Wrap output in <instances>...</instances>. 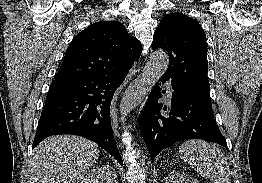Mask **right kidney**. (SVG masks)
Segmentation results:
<instances>
[{
	"label": "right kidney",
	"instance_id": "right-kidney-1",
	"mask_svg": "<svg viewBox=\"0 0 262 183\" xmlns=\"http://www.w3.org/2000/svg\"><path fill=\"white\" fill-rule=\"evenodd\" d=\"M114 169L109 166H102L89 172L81 183H117Z\"/></svg>",
	"mask_w": 262,
	"mask_h": 183
}]
</instances>
